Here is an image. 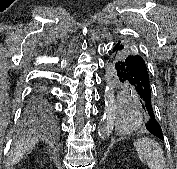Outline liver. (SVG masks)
<instances>
[{"mask_svg":"<svg viewBox=\"0 0 177 169\" xmlns=\"http://www.w3.org/2000/svg\"><path fill=\"white\" fill-rule=\"evenodd\" d=\"M38 142L37 138L27 137L16 142L11 150L9 163L15 165L21 160L26 152H29Z\"/></svg>","mask_w":177,"mask_h":169,"instance_id":"1","label":"liver"}]
</instances>
